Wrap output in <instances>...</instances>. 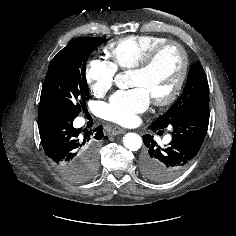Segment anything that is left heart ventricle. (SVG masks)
Returning <instances> with one entry per match:
<instances>
[{"label":"left heart ventricle","mask_w":236,"mask_h":236,"mask_svg":"<svg viewBox=\"0 0 236 236\" xmlns=\"http://www.w3.org/2000/svg\"><path fill=\"white\" fill-rule=\"evenodd\" d=\"M181 63L180 52L175 47H169L158 56L148 71H133L131 85L145 88L152 98L164 97L173 88Z\"/></svg>","instance_id":"obj_1"}]
</instances>
